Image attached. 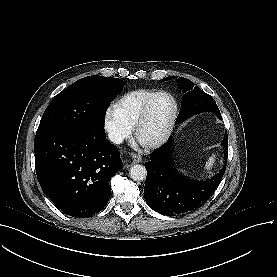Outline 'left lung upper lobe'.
Listing matches in <instances>:
<instances>
[{"mask_svg":"<svg viewBox=\"0 0 277 277\" xmlns=\"http://www.w3.org/2000/svg\"><path fill=\"white\" fill-rule=\"evenodd\" d=\"M173 77L174 76H169L161 81H165ZM178 82L182 91L185 93L181 102V110L177 117L178 124L192 115L204 111H211L216 114L218 118L222 119L217 104L210 95L203 92L199 87L194 86V83L188 79L179 77Z\"/></svg>","mask_w":277,"mask_h":277,"instance_id":"obj_1","label":"left lung upper lobe"}]
</instances>
